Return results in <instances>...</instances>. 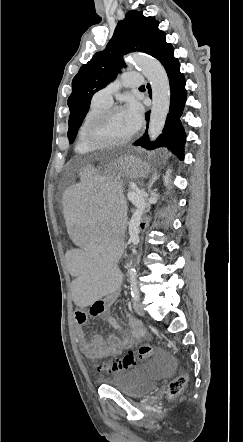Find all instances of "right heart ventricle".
Instances as JSON below:
<instances>
[{"label":"right heart ventricle","instance_id":"1","mask_svg":"<svg viewBox=\"0 0 243 442\" xmlns=\"http://www.w3.org/2000/svg\"><path fill=\"white\" fill-rule=\"evenodd\" d=\"M109 104H105L102 102H99L92 98L84 117L79 125V128L77 130V136H76V142H75V151L79 154H88L92 153L97 150V148L93 147L85 137V128L89 120L94 117L96 114L101 112L102 110L109 107Z\"/></svg>","mask_w":243,"mask_h":442}]
</instances>
